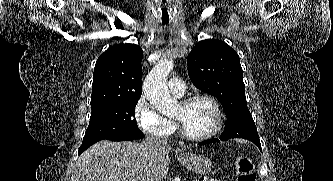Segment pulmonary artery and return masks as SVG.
Wrapping results in <instances>:
<instances>
[{"instance_id":"pulmonary-artery-1","label":"pulmonary artery","mask_w":333,"mask_h":181,"mask_svg":"<svg viewBox=\"0 0 333 181\" xmlns=\"http://www.w3.org/2000/svg\"><path fill=\"white\" fill-rule=\"evenodd\" d=\"M169 89L174 96L181 97L186 91V86L180 78H172L169 81Z\"/></svg>"}]
</instances>
